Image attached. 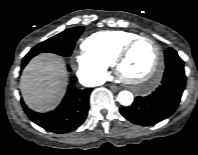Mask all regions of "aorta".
<instances>
[{
    "mask_svg": "<svg viewBox=\"0 0 198 155\" xmlns=\"http://www.w3.org/2000/svg\"><path fill=\"white\" fill-rule=\"evenodd\" d=\"M133 94L129 91H121L118 94V101L120 102V104L124 105V106H129L132 104L133 102Z\"/></svg>",
    "mask_w": 198,
    "mask_h": 155,
    "instance_id": "aorta-1",
    "label": "aorta"
}]
</instances>
